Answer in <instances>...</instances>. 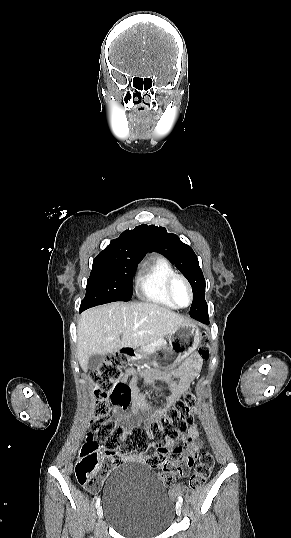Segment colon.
<instances>
[{
	"label": "colon",
	"mask_w": 291,
	"mask_h": 538,
	"mask_svg": "<svg viewBox=\"0 0 291 538\" xmlns=\"http://www.w3.org/2000/svg\"><path fill=\"white\" fill-rule=\"evenodd\" d=\"M198 352L204 359L209 356L207 347L200 348ZM127 364L126 354L112 353L93 374L94 415L86 443L75 465L78 483L89 491H97L110 472L120 465L118 456L143 454L154 446L156 452L149 458L148 465L161 470V479L167 486L175 483V465L185 461L188 466L195 465L186 488H200L214 466L212 454L202 453L196 463V457L181 458L180 448L171 451L169 447L170 441L176 440L187 429L195 414L196 399L193 394L184 393L161 418L154 419L147 426L135 425L126 431L110 418L111 404L126 408L131 401L129 386L120 381Z\"/></svg>",
	"instance_id": "1"
}]
</instances>
